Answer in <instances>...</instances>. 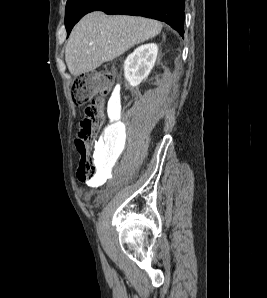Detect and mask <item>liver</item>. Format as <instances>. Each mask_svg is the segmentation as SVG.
Listing matches in <instances>:
<instances>
[{"label":"liver","mask_w":267,"mask_h":298,"mask_svg":"<svg viewBox=\"0 0 267 298\" xmlns=\"http://www.w3.org/2000/svg\"><path fill=\"white\" fill-rule=\"evenodd\" d=\"M161 29L162 24L152 19L91 12L75 25L69 36L67 67L75 77L94 71L134 45L155 37Z\"/></svg>","instance_id":"6515ba94"}]
</instances>
